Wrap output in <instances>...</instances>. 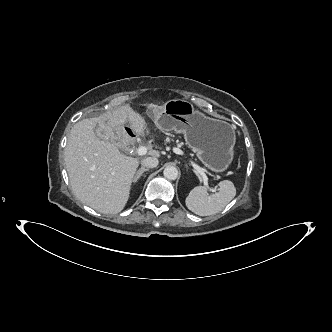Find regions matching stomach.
Returning <instances> with one entry per match:
<instances>
[{
  "mask_svg": "<svg viewBox=\"0 0 332 332\" xmlns=\"http://www.w3.org/2000/svg\"><path fill=\"white\" fill-rule=\"evenodd\" d=\"M154 122L163 132L183 133L189 147L211 171L221 173L231 165L236 137L229 123L206 117L181 99L165 103Z\"/></svg>",
  "mask_w": 332,
  "mask_h": 332,
  "instance_id": "obj_1",
  "label": "stomach"
}]
</instances>
